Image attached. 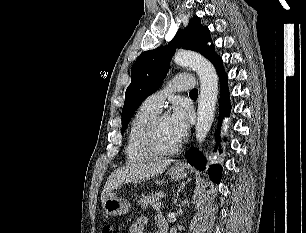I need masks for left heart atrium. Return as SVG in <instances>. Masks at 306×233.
<instances>
[{
  "instance_id": "left-heart-atrium-1",
  "label": "left heart atrium",
  "mask_w": 306,
  "mask_h": 233,
  "mask_svg": "<svg viewBox=\"0 0 306 233\" xmlns=\"http://www.w3.org/2000/svg\"><path fill=\"white\" fill-rule=\"evenodd\" d=\"M189 117V111L182 105L177 104L174 106L172 114L169 117V127L178 142L181 141L188 132L190 124Z\"/></svg>"
}]
</instances>
